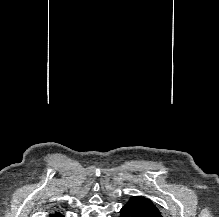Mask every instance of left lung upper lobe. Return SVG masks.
Masks as SVG:
<instances>
[{
    "instance_id": "5c2ea615",
    "label": "left lung upper lobe",
    "mask_w": 219,
    "mask_h": 217,
    "mask_svg": "<svg viewBox=\"0 0 219 217\" xmlns=\"http://www.w3.org/2000/svg\"><path fill=\"white\" fill-rule=\"evenodd\" d=\"M129 201L137 204L148 215L162 217L156 205L144 196L132 197Z\"/></svg>"
}]
</instances>
